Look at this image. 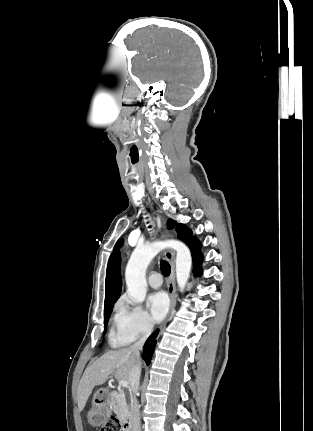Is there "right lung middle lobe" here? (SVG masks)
I'll return each mask as SVG.
<instances>
[{
  "label": "right lung middle lobe",
  "mask_w": 313,
  "mask_h": 431,
  "mask_svg": "<svg viewBox=\"0 0 313 431\" xmlns=\"http://www.w3.org/2000/svg\"><path fill=\"white\" fill-rule=\"evenodd\" d=\"M113 306L114 305H111L109 307L104 308V324H105V327L108 324L109 316H110V313L112 311Z\"/></svg>",
  "instance_id": "right-lung-middle-lobe-1"
}]
</instances>
